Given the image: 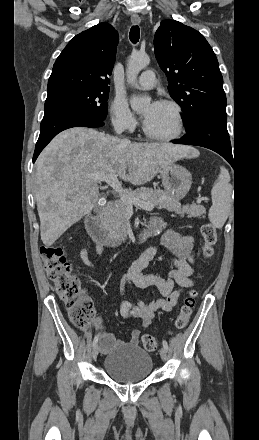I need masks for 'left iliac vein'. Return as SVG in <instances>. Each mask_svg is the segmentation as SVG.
<instances>
[{
  "label": "left iliac vein",
  "instance_id": "1",
  "mask_svg": "<svg viewBox=\"0 0 259 440\" xmlns=\"http://www.w3.org/2000/svg\"><path fill=\"white\" fill-rule=\"evenodd\" d=\"M160 356H161V359L163 361H166V359H167V350L164 347H162L160 349Z\"/></svg>",
  "mask_w": 259,
  "mask_h": 440
}]
</instances>
